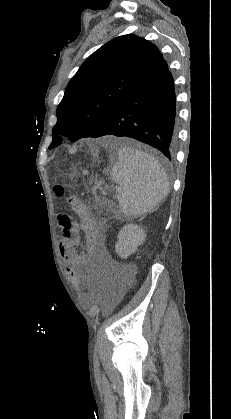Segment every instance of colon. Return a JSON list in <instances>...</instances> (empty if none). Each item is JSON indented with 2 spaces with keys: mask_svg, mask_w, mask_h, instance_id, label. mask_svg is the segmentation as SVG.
I'll use <instances>...</instances> for the list:
<instances>
[{
  "mask_svg": "<svg viewBox=\"0 0 231 419\" xmlns=\"http://www.w3.org/2000/svg\"><path fill=\"white\" fill-rule=\"evenodd\" d=\"M55 191L58 196H64V189L61 185H56ZM66 201L71 211L79 217L80 228L86 232V245L88 247L86 250V258L88 260H93L97 257V252L99 250V242L95 239V231L93 229V218L88 211L86 204L79 197L69 195L67 196ZM84 285L88 293L94 294L100 292V285L96 284L91 278H86L84 280Z\"/></svg>",
  "mask_w": 231,
  "mask_h": 419,
  "instance_id": "colon-1",
  "label": "colon"
}]
</instances>
